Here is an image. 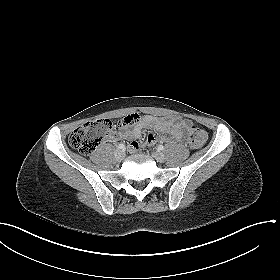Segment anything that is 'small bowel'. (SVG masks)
Segmentation results:
<instances>
[{
	"mask_svg": "<svg viewBox=\"0 0 280 280\" xmlns=\"http://www.w3.org/2000/svg\"><path fill=\"white\" fill-rule=\"evenodd\" d=\"M130 125H124L120 129L119 133L114 137V140L119 138H124L127 140H134L142 134L144 128H151L160 133H169L176 140H181L185 134V131L189 128L190 122L177 117L169 118H158L153 115H145L141 117L132 128H129ZM132 141L129 145V149L134 152L138 150L141 145L132 144ZM158 142V138L155 133L149 132L146 135L144 144L146 146H154Z\"/></svg>",
	"mask_w": 280,
	"mask_h": 280,
	"instance_id": "c3829d8e",
	"label": "small bowel"
}]
</instances>
